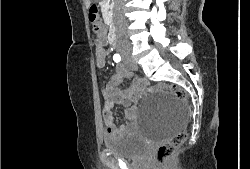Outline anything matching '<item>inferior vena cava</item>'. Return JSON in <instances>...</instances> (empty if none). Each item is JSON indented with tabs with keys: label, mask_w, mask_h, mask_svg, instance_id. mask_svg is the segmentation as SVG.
<instances>
[{
	"label": "inferior vena cava",
	"mask_w": 250,
	"mask_h": 169,
	"mask_svg": "<svg viewBox=\"0 0 250 169\" xmlns=\"http://www.w3.org/2000/svg\"><path fill=\"white\" fill-rule=\"evenodd\" d=\"M124 4L125 0H115L113 22L117 34H119V32H126L127 22L125 20Z\"/></svg>",
	"instance_id": "obj_1"
}]
</instances>
